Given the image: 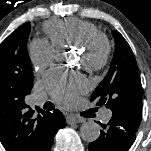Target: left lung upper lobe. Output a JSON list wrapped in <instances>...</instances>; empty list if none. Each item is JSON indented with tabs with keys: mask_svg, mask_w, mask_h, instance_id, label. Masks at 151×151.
Here are the masks:
<instances>
[{
	"mask_svg": "<svg viewBox=\"0 0 151 151\" xmlns=\"http://www.w3.org/2000/svg\"><path fill=\"white\" fill-rule=\"evenodd\" d=\"M115 51L105 79L91 96L96 106L105 105L112 117L137 128L141 123L143 88L134 54L124 37L114 30Z\"/></svg>",
	"mask_w": 151,
	"mask_h": 151,
	"instance_id": "1",
	"label": "left lung upper lobe"
}]
</instances>
